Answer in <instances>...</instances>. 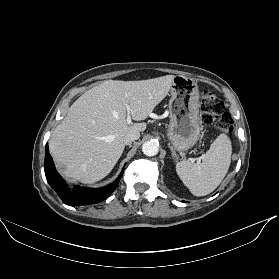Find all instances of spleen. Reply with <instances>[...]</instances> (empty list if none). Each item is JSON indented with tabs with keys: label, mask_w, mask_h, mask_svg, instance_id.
Wrapping results in <instances>:
<instances>
[{
	"label": "spleen",
	"mask_w": 279,
	"mask_h": 279,
	"mask_svg": "<svg viewBox=\"0 0 279 279\" xmlns=\"http://www.w3.org/2000/svg\"><path fill=\"white\" fill-rule=\"evenodd\" d=\"M232 146L226 134H220L203 156L202 162L183 160L176 172L194 196L213 192L226 176L231 162Z\"/></svg>",
	"instance_id": "3e777b00"
}]
</instances>
